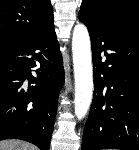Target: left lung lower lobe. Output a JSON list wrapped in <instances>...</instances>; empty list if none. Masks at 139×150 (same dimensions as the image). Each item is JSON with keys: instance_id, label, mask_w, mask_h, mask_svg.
<instances>
[{"instance_id": "0a47b994", "label": "left lung lower lobe", "mask_w": 139, "mask_h": 150, "mask_svg": "<svg viewBox=\"0 0 139 150\" xmlns=\"http://www.w3.org/2000/svg\"><path fill=\"white\" fill-rule=\"evenodd\" d=\"M79 20L89 30L94 68L82 150H139V16L109 27Z\"/></svg>"}]
</instances>
